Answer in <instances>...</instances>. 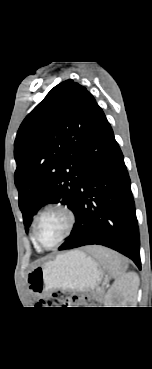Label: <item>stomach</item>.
Segmentation results:
<instances>
[{"label":"stomach","instance_id":"0dacf381","mask_svg":"<svg viewBox=\"0 0 152 369\" xmlns=\"http://www.w3.org/2000/svg\"><path fill=\"white\" fill-rule=\"evenodd\" d=\"M102 276L103 272L95 260L82 252L70 251L32 268L27 282L32 293L42 296L54 289L89 291L98 285Z\"/></svg>","mask_w":152,"mask_h":369}]
</instances>
